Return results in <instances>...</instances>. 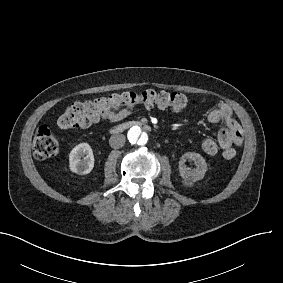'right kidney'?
Segmentation results:
<instances>
[{
  "label": "right kidney",
  "instance_id": "1",
  "mask_svg": "<svg viewBox=\"0 0 283 283\" xmlns=\"http://www.w3.org/2000/svg\"><path fill=\"white\" fill-rule=\"evenodd\" d=\"M71 170L78 174L89 173L94 165L92 149L86 143L77 145L69 155Z\"/></svg>",
  "mask_w": 283,
  "mask_h": 283
}]
</instances>
